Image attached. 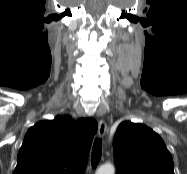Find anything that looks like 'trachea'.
I'll return each instance as SVG.
<instances>
[{
    "instance_id": "trachea-1",
    "label": "trachea",
    "mask_w": 187,
    "mask_h": 174,
    "mask_svg": "<svg viewBox=\"0 0 187 174\" xmlns=\"http://www.w3.org/2000/svg\"><path fill=\"white\" fill-rule=\"evenodd\" d=\"M102 154V139L96 138L92 148L91 164L93 168H96Z\"/></svg>"
}]
</instances>
